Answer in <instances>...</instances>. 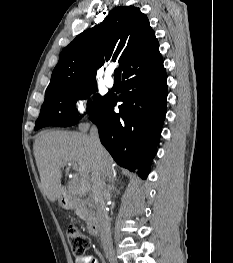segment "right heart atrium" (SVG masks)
I'll return each instance as SVG.
<instances>
[{
	"label": "right heart atrium",
	"mask_w": 233,
	"mask_h": 263,
	"mask_svg": "<svg viewBox=\"0 0 233 263\" xmlns=\"http://www.w3.org/2000/svg\"><path fill=\"white\" fill-rule=\"evenodd\" d=\"M90 100H91L90 93L82 92L78 94L73 102L74 113L77 116H83L86 113V109Z\"/></svg>",
	"instance_id": "obj_1"
}]
</instances>
